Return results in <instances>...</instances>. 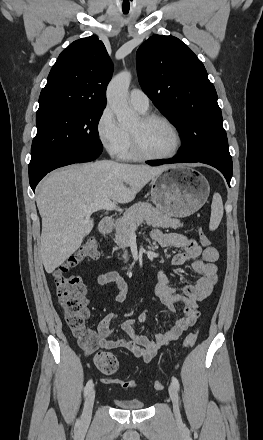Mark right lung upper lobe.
I'll list each match as a JSON object with an SVG mask.
<instances>
[{"label": "right lung upper lobe", "instance_id": "1", "mask_svg": "<svg viewBox=\"0 0 263 440\" xmlns=\"http://www.w3.org/2000/svg\"><path fill=\"white\" fill-rule=\"evenodd\" d=\"M113 65L97 36L71 43L53 65L39 109L104 108Z\"/></svg>", "mask_w": 263, "mask_h": 440}]
</instances>
